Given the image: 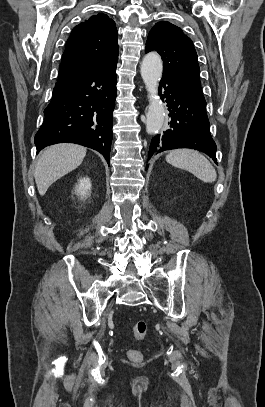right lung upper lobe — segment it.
Segmentation results:
<instances>
[{
  "label": "right lung upper lobe",
  "mask_w": 265,
  "mask_h": 407,
  "mask_svg": "<svg viewBox=\"0 0 265 407\" xmlns=\"http://www.w3.org/2000/svg\"><path fill=\"white\" fill-rule=\"evenodd\" d=\"M115 22L103 13L75 26L66 42L59 67L60 86L118 59Z\"/></svg>",
  "instance_id": "obj_1"
}]
</instances>
